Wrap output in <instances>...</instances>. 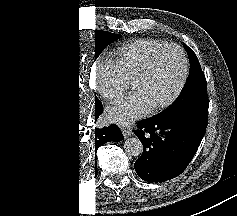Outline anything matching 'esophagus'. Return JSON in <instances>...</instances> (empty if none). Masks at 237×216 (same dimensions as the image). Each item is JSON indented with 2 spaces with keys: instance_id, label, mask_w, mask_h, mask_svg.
Returning a JSON list of instances; mask_svg holds the SVG:
<instances>
[{
  "instance_id": "obj_1",
  "label": "esophagus",
  "mask_w": 237,
  "mask_h": 216,
  "mask_svg": "<svg viewBox=\"0 0 237 216\" xmlns=\"http://www.w3.org/2000/svg\"><path fill=\"white\" fill-rule=\"evenodd\" d=\"M122 132L124 136H129L132 133L131 127H122Z\"/></svg>"
}]
</instances>
